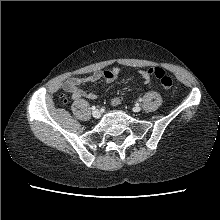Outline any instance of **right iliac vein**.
I'll return each instance as SVG.
<instances>
[{
  "label": "right iliac vein",
  "mask_w": 220,
  "mask_h": 220,
  "mask_svg": "<svg viewBox=\"0 0 220 220\" xmlns=\"http://www.w3.org/2000/svg\"><path fill=\"white\" fill-rule=\"evenodd\" d=\"M92 116H93L95 119H98V118H100V116H101V112H100L99 110H95V111H93Z\"/></svg>",
  "instance_id": "obj_1"
}]
</instances>
